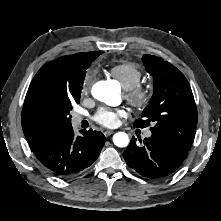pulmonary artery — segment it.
I'll return each instance as SVG.
<instances>
[{"instance_id": "e3ab8cb5", "label": "pulmonary artery", "mask_w": 221, "mask_h": 221, "mask_svg": "<svg viewBox=\"0 0 221 221\" xmlns=\"http://www.w3.org/2000/svg\"><path fill=\"white\" fill-rule=\"evenodd\" d=\"M82 120H83V117H82L81 115H75V116L73 117V122H74L75 124L81 123ZM144 136L147 137V138L150 137V136H151V132H150V131H146L145 134H144Z\"/></svg>"}]
</instances>
